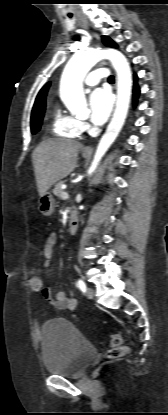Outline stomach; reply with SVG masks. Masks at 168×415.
Listing matches in <instances>:
<instances>
[{"label":"stomach","mask_w":168,"mask_h":415,"mask_svg":"<svg viewBox=\"0 0 168 415\" xmlns=\"http://www.w3.org/2000/svg\"><path fill=\"white\" fill-rule=\"evenodd\" d=\"M83 157L87 158L90 153L83 151ZM55 200L50 193H46L39 199L38 209L44 216H50L54 212Z\"/></svg>","instance_id":"1"}]
</instances>
